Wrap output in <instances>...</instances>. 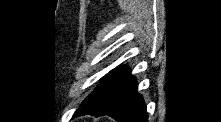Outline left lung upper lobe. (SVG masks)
<instances>
[{
    "instance_id": "obj_1",
    "label": "left lung upper lobe",
    "mask_w": 221,
    "mask_h": 122,
    "mask_svg": "<svg viewBox=\"0 0 221 122\" xmlns=\"http://www.w3.org/2000/svg\"><path fill=\"white\" fill-rule=\"evenodd\" d=\"M108 76L104 77V79L101 81V83L98 85V87L83 101L82 104H84L96 91L97 89L102 85V83L105 81V79L107 78Z\"/></svg>"
}]
</instances>
